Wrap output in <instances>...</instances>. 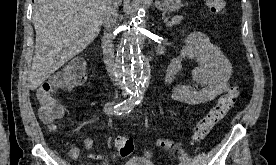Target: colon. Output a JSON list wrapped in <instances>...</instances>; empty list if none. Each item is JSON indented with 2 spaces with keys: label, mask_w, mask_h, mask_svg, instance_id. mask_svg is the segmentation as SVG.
Masks as SVG:
<instances>
[{
  "label": "colon",
  "mask_w": 276,
  "mask_h": 165,
  "mask_svg": "<svg viewBox=\"0 0 276 165\" xmlns=\"http://www.w3.org/2000/svg\"><path fill=\"white\" fill-rule=\"evenodd\" d=\"M207 9L215 14H223L226 10L224 0H205ZM86 78L85 62L74 60L58 70L48 82L44 83L36 93L39 104V116L41 120L51 126L61 121L64 116L63 108L56 98L59 89H69L76 83L83 82ZM239 97V88L231 87L225 94L219 97L217 103L194 126L191 140L199 143L233 108ZM164 148H172L169 140H161ZM116 153L121 158L129 157L134 150L133 141L129 137L120 136L115 140Z\"/></svg>",
  "instance_id": "colon-1"
}]
</instances>
